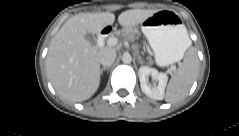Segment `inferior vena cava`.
<instances>
[{"label":"inferior vena cava","mask_w":239,"mask_h":136,"mask_svg":"<svg viewBox=\"0 0 239 136\" xmlns=\"http://www.w3.org/2000/svg\"><path fill=\"white\" fill-rule=\"evenodd\" d=\"M98 58L103 66H111L116 59V51L109 47L102 48L98 52Z\"/></svg>","instance_id":"602c4592"}]
</instances>
